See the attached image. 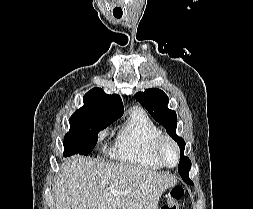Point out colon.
<instances>
[{
	"label": "colon",
	"mask_w": 253,
	"mask_h": 209,
	"mask_svg": "<svg viewBox=\"0 0 253 209\" xmlns=\"http://www.w3.org/2000/svg\"><path fill=\"white\" fill-rule=\"evenodd\" d=\"M184 189L182 186H175L170 190V196L166 205L162 209H179L178 201L182 199Z\"/></svg>",
	"instance_id": "obj_1"
}]
</instances>
